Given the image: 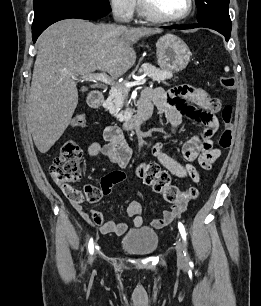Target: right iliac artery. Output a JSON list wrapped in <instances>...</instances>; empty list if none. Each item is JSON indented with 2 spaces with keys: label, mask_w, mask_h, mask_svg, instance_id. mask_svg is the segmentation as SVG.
<instances>
[{
  "label": "right iliac artery",
  "mask_w": 261,
  "mask_h": 306,
  "mask_svg": "<svg viewBox=\"0 0 261 306\" xmlns=\"http://www.w3.org/2000/svg\"><path fill=\"white\" fill-rule=\"evenodd\" d=\"M90 254H93V239L91 238L88 244Z\"/></svg>",
  "instance_id": "1"
}]
</instances>
